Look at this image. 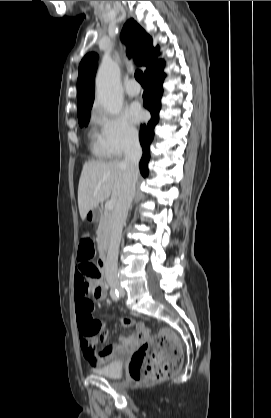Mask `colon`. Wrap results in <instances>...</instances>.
I'll return each instance as SVG.
<instances>
[{
    "label": "colon",
    "instance_id": "obj_1",
    "mask_svg": "<svg viewBox=\"0 0 271 418\" xmlns=\"http://www.w3.org/2000/svg\"><path fill=\"white\" fill-rule=\"evenodd\" d=\"M95 253L91 235L83 232L79 240L78 261H91ZM181 364L182 350L178 338L170 330L162 328L134 352L129 373L136 382L159 380L175 374Z\"/></svg>",
    "mask_w": 271,
    "mask_h": 418
}]
</instances>
